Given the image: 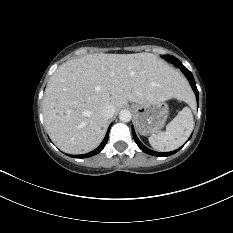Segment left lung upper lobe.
<instances>
[{
  "label": "left lung upper lobe",
  "instance_id": "left-lung-upper-lobe-1",
  "mask_svg": "<svg viewBox=\"0 0 233 233\" xmlns=\"http://www.w3.org/2000/svg\"><path fill=\"white\" fill-rule=\"evenodd\" d=\"M163 58H164L165 60L170 61V62L173 63V64H174V62L178 61L177 58H175L174 56H171V55L163 56Z\"/></svg>",
  "mask_w": 233,
  "mask_h": 233
}]
</instances>
